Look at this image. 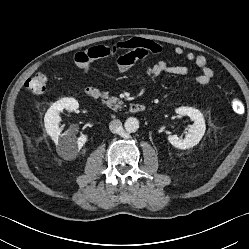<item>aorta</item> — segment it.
I'll return each mask as SVG.
<instances>
[{
	"instance_id": "aorta-1",
	"label": "aorta",
	"mask_w": 249,
	"mask_h": 249,
	"mask_svg": "<svg viewBox=\"0 0 249 249\" xmlns=\"http://www.w3.org/2000/svg\"><path fill=\"white\" fill-rule=\"evenodd\" d=\"M124 127L127 132L134 133L139 128V121L134 117H130L125 121Z\"/></svg>"
}]
</instances>
